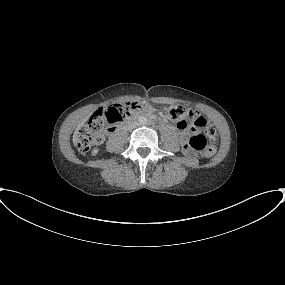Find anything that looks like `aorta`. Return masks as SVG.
<instances>
[{"mask_svg":"<svg viewBox=\"0 0 285 285\" xmlns=\"http://www.w3.org/2000/svg\"><path fill=\"white\" fill-rule=\"evenodd\" d=\"M139 123H140V124H146V123H147L146 117H143V116L140 117V118H139Z\"/></svg>","mask_w":285,"mask_h":285,"instance_id":"obj_1","label":"aorta"}]
</instances>
